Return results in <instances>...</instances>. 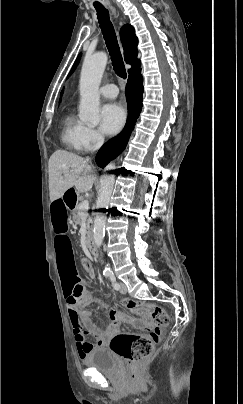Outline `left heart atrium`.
Here are the masks:
<instances>
[{
  "label": "left heart atrium",
  "mask_w": 243,
  "mask_h": 404,
  "mask_svg": "<svg viewBox=\"0 0 243 404\" xmlns=\"http://www.w3.org/2000/svg\"><path fill=\"white\" fill-rule=\"evenodd\" d=\"M125 118L126 114L122 106L110 101L100 110V130L106 135L115 134L124 125Z\"/></svg>",
  "instance_id": "obj_1"
}]
</instances>
